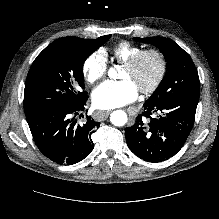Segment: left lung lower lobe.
I'll list each match as a JSON object with an SVG mask.
<instances>
[{"mask_svg":"<svg viewBox=\"0 0 219 219\" xmlns=\"http://www.w3.org/2000/svg\"><path fill=\"white\" fill-rule=\"evenodd\" d=\"M199 94L175 97L163 103L146 102L145 111L125 130L127 145L141 159L161 162L174 156L190 134ZM153 113L159 114L152 117ZM149 118V123L145 120Z\"/></svg>","mask_w":219,"mask_h":219,"instance_id":"1","label":"left lung lower lobe"}]
</instances>
